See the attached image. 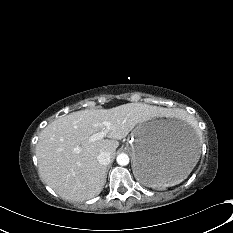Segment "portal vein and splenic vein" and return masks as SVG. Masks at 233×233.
Instances as JSON below:
<instances>
[{
	"label": "portal vein and splenic vein",
	"mask_w": 233,
	"mask_h": 233,
	"mask_svg": "<svg viewBox=\"0 0 233 233\" xmlns=\"http://www.w3.org/2000/svg\"><path fill=\"white\" fill-rule=\"evenodd\" d=\"M102 124L106 127V130H105V131H102V132H99V133L93 134V135L89 138V141H90V142H95V141H97V140L103 139V138L106 136V134H107L108 130H110L111 126H110V123L107 122V121H104ZM76 150L79 151L78 148H77Z\"/></svg>",
	"instance_id": "portal-vein-and-splenic-vein-1"
}]
</instances>
